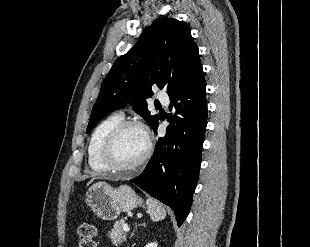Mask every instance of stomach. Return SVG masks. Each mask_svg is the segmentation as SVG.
Segmentation results:
<instances>
[{"label": "stomach", "instance_id": "stomach-1", "mask_svg": "<svg viewBox=\"0 0 310 247\" xmlns=\"http://www.w3.org/2000/svg\"><path fill=\"white\" fill-rule=\"evenodd\" d=\"M86 204L94 214L102 220L116 219L121 212L131 210L143 205V200L134 190L122 185L113 188L106 182H96L86 192Z\"/></svg>", "mask_w": 310, "mask_h": 247}]
</instances>
